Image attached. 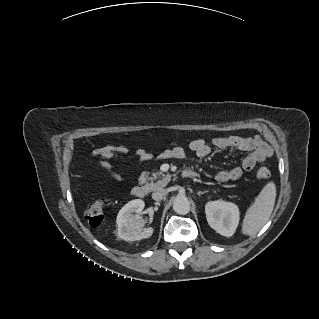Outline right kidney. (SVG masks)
<instances>
[{
	"label": "right kidney",
	"mask_w": 319,
	"mask_h": 319,
	"mask_svg": "<svg viewBox=\"0 0 319 319\" xmlns=\"http://www.w3.org/2000/svg\"><path fill=\"white\" fill-rule=\"evenodd\" d=\"M144 206L143 200L134 199L121 208L116 219L118 237L126 241H136L152 236L153 228H144L145 222L140 215Z\"/></svg>",
	"instance_id": "right-kidney-1"
}]
</instances>
